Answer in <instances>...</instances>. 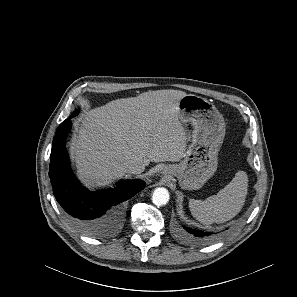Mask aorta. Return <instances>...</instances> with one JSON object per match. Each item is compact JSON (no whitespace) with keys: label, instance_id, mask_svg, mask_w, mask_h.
<instances>
[{"label":"aorta","instance_id":"obj_1","mask_svg":"<svg viewBox=\"0 0 297 297\" xmlns=\"http://www.w3.org/2000/svg\"><path fill=\"white\" fill-rule=\"evenodd\" d=\"M169 201V192L164 187L156 188L152 195V202L157 206L167 204Z\"/></svg>","mask_w":297,"mask_h":297}]
</instances>
